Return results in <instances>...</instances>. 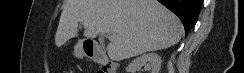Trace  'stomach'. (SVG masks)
<instances>
[{"instance_id":"obj_1","label":"stomach","mask_w":244,"mask_h":73,"mask_svg":"<svg viewBox=\"0 0 244 73\" xmlns=\"http://www.w3.org/2000/svg\"><path fill=\"white\" fill-rule=\"evenodd\" d=\"M74 55L76 57H83V56L87 55L86 50H85L84 45H83V42H79L75 45Z\"/></svg>"}]
</instances>
